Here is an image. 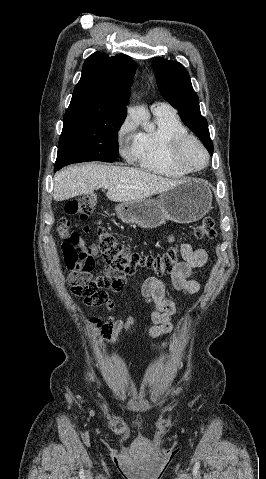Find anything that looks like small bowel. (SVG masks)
Here are the masks:
<instances>
[{"instance_id": "obj_1", "label": "small bowel", "mask_w": 266, "mask_h": 479, "mask_svg": "<svg viewBox=\"0 0 266 479\" xmlns=\"http://www.w3.org/2000/svg\"><path fill=\"white\" fill-rule=\"evenodd\" d=\"M167 241L172 242L173 236H168ZM180 253L182 261L171 273L172 286L177 291L195 294L199 291L200 285L197 280L191 278V275L195 269L205 265L207 252L202 248L194 249L189 243H183L180 247ZM104 273L110 277H119L123 281V285L126 282L125 276L111 268H105ZM141 293L144 300L154 306L150 313L153 326L150 327L149 334L152 337H160L171 332L175 327L172 317L177 312V306L175 302L166 298L164 284L155 277H149L144 281ZM105 307L109 312L107 320L102 322L100 318L93 316L88 320V324L95 331L98 341L107 343L110 349L119 332L132 328L134 319L131 317L124 320L116 319L111 314L115 307L113 300L106 301Z\"/></svg>"}]
</instances>
